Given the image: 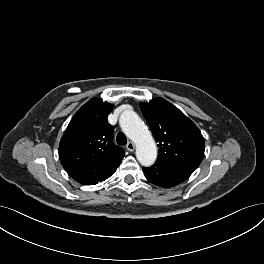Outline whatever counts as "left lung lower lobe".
<instances>
[{
	"instance_id": "left-lung-lower-lobe-1",
	"label": "left lung lower lobe",
	"mask_w": 264,
	"mask_h": 264,
	"mask_svg": "<svg viewBox=\"0 0 264 264\" xmlns=\"http://www.w3.org/2000/svg\"><path fill=\"white\" fill-rule=\"evenodd\" d=\"M142 169L148 181L164 188L182 183L194 171L182 165L163 161H156L151 167Z\"/></svg>"
}]
</instances>
